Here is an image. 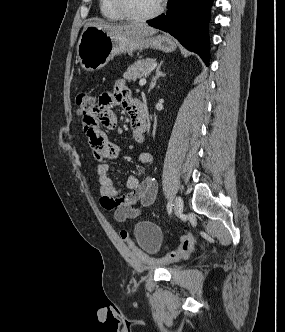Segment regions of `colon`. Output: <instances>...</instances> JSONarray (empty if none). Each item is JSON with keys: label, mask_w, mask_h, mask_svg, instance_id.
Instances as JSON below:
<instances>
[{"label": "colon", "mask_w": 285, "mask_h": 332, "mask_svg": "<svg viewBox=\"0 0 285 332\" xmlns=\"http://www.w3.org/2000/svg\"><path fill=\"white\" fill-rule=\"evenodd\" d=\"M95 95L89 93L79 94L76 97L75 104L79 115H84V111H89L90 107L95 105ZM123 240L127 241L136 256L144 263L148 264H166L176 261L188 256L193 248V240L189 236H183L179 247L167 253L164 257L159 259L150 258L142 249H140L131 239L129 232L122 230L120 233Z\"/></svg>", "instance_id": "obj_1"}]
</instances>
